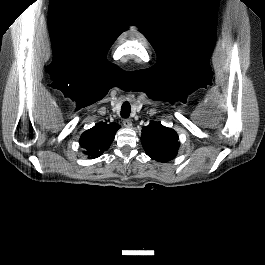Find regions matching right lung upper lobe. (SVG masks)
Listing matches in <instances>:
<instances>
[{"mask_svg": "<svg viewBox=\"0 0 265 265\" xmlns=\"http://www.w3.org/2000/svg\"><path fill=\"white\" fill-rule=\"evenodd\" d=\"M119 128L120 125L117 123L100 122L85 131L79 139L81 147L85 149L84 153L89 158H97L102 155L110 147Z\"/></svg>", "mask_w": 265, "mask_h": 265, "instance_id": "cb5924a9", "label": "right lung upper lobe"}]
</instances>
